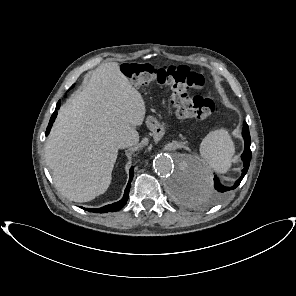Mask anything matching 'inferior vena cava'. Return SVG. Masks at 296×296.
Masks as SVG:
<instances>
[{
    "label": "inferior vena cava",
    "mask_w": 296,
    "mask_h": 296,
    "mask_svg": "<svg viewBox=\"0 0 296 296\" xmlns=\"http://www.w3.org/2000/svg\"><path fill=\"white\" fill-rule=\"evenodd\" d=\"M133 145H134V142L129 137H124L117 142L118 148H121V149L127 148L129 146H133Z\"/></svg>",
    "instance_id": "1"
}]
</instances>
